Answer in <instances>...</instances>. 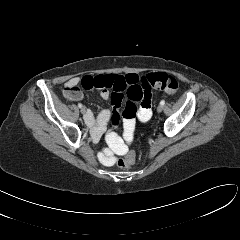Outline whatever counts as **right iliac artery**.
<instances>
[{
    "mask_svg": "<svg viewBox=\"0 0 240 240\" xmlns=\"http://www.w3.org/2000/svg\"><path fill=\"white\" fill-rule=\"evenodd\" d=\"M78 107H79V108H82V104H81V103H78Z\"/></svg>",
    "mask_w": 240,
    "mask_h": 240,
    "instance_id": "82829eb1",
    "label": "right iliac artery"
}]
</instances>
